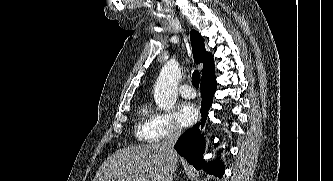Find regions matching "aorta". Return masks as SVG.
Returning <instances> with one entry per match:
<instances>
[{
	"mask_svg": "<svg viewBox=\"0 0 333 181\" xmlns=\"http://www.w3.org/2000/svg\"><path fill=\"white\" fill-rule=\"evenodd\" d=\"M181 77L179 64L170 60L161 69L154 85V99L162 110H170L177 101V86Z\"/></svg>",
	"mask_w": 333,
	"mask_h": 181,
	"instance_id": "obj_1",
	"label": "aorta"
}]
</instances>
